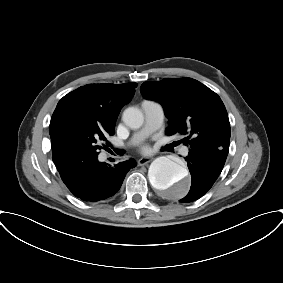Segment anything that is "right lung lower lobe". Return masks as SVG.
<instances>
[{
    "instance_id": "1",
    "label": "right lung lower lobe",
    "mask_w": 283,
    "mask_h": 283,
    "mask_svg": "<svg viewBox=\"0 0 283 283\" xmlns=\"http://www.w3.org/2000/svg\"><path fill=\"white\" fill-rule=\"evenodd\" d=\"M97 155L87 152L57 168L73 195L84 201L96 202L113 196L127 172L136 166L133 159L111 166L99 162Z\"/></svg>"
}]
</instances>
